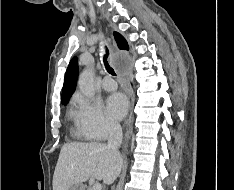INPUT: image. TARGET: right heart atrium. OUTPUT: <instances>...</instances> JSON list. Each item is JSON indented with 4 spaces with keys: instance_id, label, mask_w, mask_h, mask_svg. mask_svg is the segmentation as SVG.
<instances>
[{
    "instance_id": "d8ad5b80",
    "label": "right heart atrium",
    "mask_w": 234,
    "mask_h": 190,
    "mask_svg": "<svg viewBox=\"0 0 234 190\" xmlns=\"http://www.w3.org/2000/svg\"><path fill=\"white\" fill-rule=\"evenodd\" d=\"M72 118L80 135L91 140H103L119 128L98 101L81 94L73 97Z\"/></svg>"
}]
</instances>
